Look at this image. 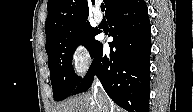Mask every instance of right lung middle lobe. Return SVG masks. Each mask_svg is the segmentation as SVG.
<instances>
[{"label": "right lung middle lobe", "mask_w": 193, "mask_h": 112, "mask_svg": "<svg viewBox=\"0 0 193 112\" xmlns=\"http://www.w3.org/2000/svg\"><path fill=\"white\" fill-rule=\"evenodd\" d=\"M98 31L90 24L68 28L46 43L48 55V68L50 70L51 84L55 101H61L74 91L81 80L72 67V57L78 45H84L91 57L100 46L95 39Z\"/></svg>", "instance_id": "obj_1"}]
</instances>
